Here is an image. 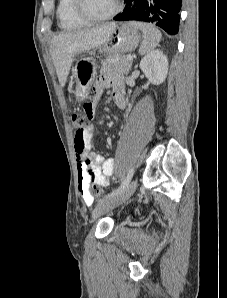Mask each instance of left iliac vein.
Returning <instances> with one entry per match:
<instances>
[{
  "label": "left iliac vein",
  "instance_id": "left-iliac-vein-1",
  "mask_svg": "<svg viewBox=\"0 0 227 298\" xmlns=\"http://www.w3.org/2000/svg\"><path fill=\"white\" fill-rule=\"evenodd\" d=\"M136 188L137 180H134L130 184H128V186L122 192L112 197L100 200L92 212V219L95 220L102 214L126 202L133 195Z\"/></svg>",
  "mask_w": 227,
  "mask_h": 298
}]
</instances>
